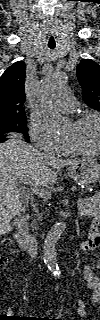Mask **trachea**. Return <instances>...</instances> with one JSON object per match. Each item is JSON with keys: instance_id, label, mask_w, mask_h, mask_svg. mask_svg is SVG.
Wrapping results in <instances>:
<instances>
[{"instance_id": "trachea-1", "label": "trachea", "mask_w": 100, "mask_h": 320, "mask_svg": "<svg viewBox=\"0 0 100 320\" xmlns=\"http://www.w3.org/2000/svg\"><path fill=\"white\" fill-rule=\"evenodd\" d=\"M50 49H54L55 48V45H49L48 46Z\"/></svg>"}]
</instances>
